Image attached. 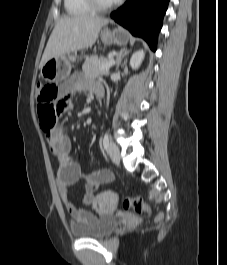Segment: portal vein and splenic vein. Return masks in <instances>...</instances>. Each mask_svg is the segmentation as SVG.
Returning <instances> with one entry per match:
<instances>
[{"label": "portal vein and splenic vein", "instance_id": "18ae733b", "mask_svg": "<svg viewBox=\"0 0 227 265\" xmlns=\"http://www.w3.org/2000/svg\"><path fill=\"white\" fill-rule=\"evenodd\" d=\"M115 63V61L113 59L109 60L107 63L103 64L99 69L100 70H107L109 69L111 66H113V64Z\"/></svg>", "mask_w": 227, "mask_h": 265}]
</instances>
